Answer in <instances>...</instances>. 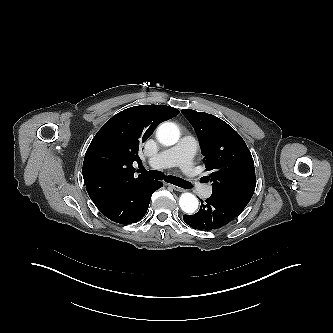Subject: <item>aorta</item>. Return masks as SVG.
<instances>
[{
    "label": "aorta",
    "mask_w": 333,
    "mask_h": 333,
    "mask_svg": "<svg viewBox=\"0 0 333 333\" xmlns=\"http://www.w3.org/2000/svg\"><path fill=\"white\" fill-rule=\"evenodd\" d=\"M179 137L180 131L172 122H164L157 129V139L165 146L176 144ZM179 206L185 213L192 214L198 208V199L191 193H183L179 198Z\"/></svg>",
    "instance_id": "obj_1"
}]
</instances>
